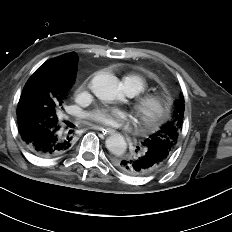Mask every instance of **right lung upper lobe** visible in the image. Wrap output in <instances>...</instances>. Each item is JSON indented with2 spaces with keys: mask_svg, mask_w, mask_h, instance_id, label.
Wrapping results in <instances>:
<instances>
[{
  "mask_svg": "<svg viewBox=\"0 0 232 232\" xmlns=\"http://www.w3.org/2000/svg\"><path fill=\"white\" fill-rule=\"evenodd\" d=\"M78 63V56L76 53H67L59 57L50 59L41 65L36 72L30 77L45 73L48 76L65 80L68 84L73 82Z\"/></svg>",
  "mask_w": 232,
  "mask_h": 232,
  "instance_id": "cb5924a9",
  "label": "right lung upper lobe"
}]
</instances>
